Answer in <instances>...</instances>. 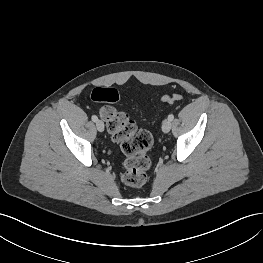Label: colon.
I'll list each match as a JSON object with an SVG mask.
<instances>
[{
	"instance_id": "1",
	"label": "colon",
	"mask_w": 263,
	"mask_h": 263,
	"mask_svg": "<svg viewBox=\"0 0 263 263\" xmlns=\"http://www.w3.org/2000/svg\"><path fill=\"white\" fill-rule=\"evenodd\" d=\"M91 98L101 105L99 114L105 121L112 140L120 145L126 156L121 172L122 182L130 187L143 186L148 179L151 164L147 154L153 143L150 132L140 129L128 114L117 111L111 105L119 99L114 88L97 87L93 90ZM162 100L166 103H177L182 100V96L170 94Z\"/></svg>"
}]
</instances>
